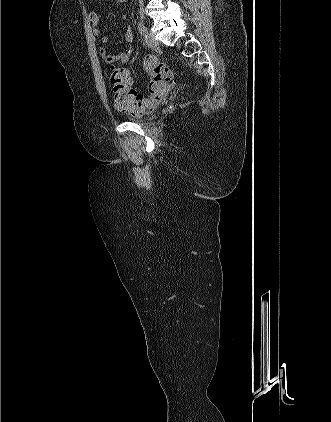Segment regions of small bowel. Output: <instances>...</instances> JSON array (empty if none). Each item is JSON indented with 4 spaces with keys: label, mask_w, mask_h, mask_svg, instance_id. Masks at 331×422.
Returning <instances> with one entry per match:
<instances>
[{
    "label": "small bowel",
    "mask_w": 331,
    "mask_h": 422,
    "mask_svg": "<svg viewBox=\"0 0 331 422\" xmlns=\"http://www.w3.org/2000/svg\"><path fill=\"white\" fill-rule=\"evenodd\" d=\"M126 0H117V3L123 4ZM88 19L93 26V32L98 38L100 44L99 52L102 60L107 64H122L125 65L128 63L129 59L133 54V46L131 45L134 41V34L131 30H127L124 34L125 41L129 44L126 49L119 54H111L105 48V45L109 42V37L101 34V31L98 27L100 21V14L96 11H91L88 13ZM122 19L125 20L126 16L122 15Z\"/></svg>",
    "instance_id": "1"
}]
</instances>
